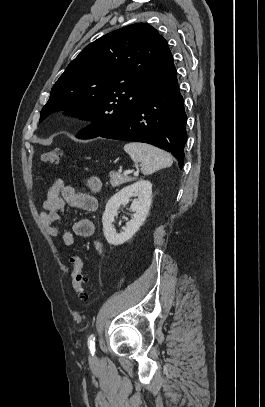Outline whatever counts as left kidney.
<instances>
[{
    "label": "left kidney",
    "mask_w": 265,
    "mask_h": 407,
    "mask_svg": "<svg viewBox=\"0 0 265 407\" xmlns=\"http://www.w3.org/2000/svg\"><path fill=\"white\" fill-rule=\"evenodd\" d=\"M131 197H137L130 206V209L134 212L133 217L123 227V231L117 233L113 226L115 217L118 214L117 211L121 205H127ZM151 201L152 184L148 180H139L113 195L107 202L102 217L103 232L107 242L118 246L132 238L144 223L150 210Z\"/></svg>",
    "instance_id": "obj_1"
}]
</instances>
